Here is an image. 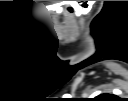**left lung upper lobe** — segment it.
Masks as SVG:
<instances>
[{
    "label": "left lung upper lobe",
    "instance_id": "left-lung-upper-lobe-1",
    "mask_svg": "<svg viewBox=\"0 0 128 101\" xmlns=\"http://www.w3.org/2000/svg\"><path fill=\"white\" fill-rule=\"evenodd\" d=\"M107 96H110V97H112V95H109V94H104V95H102L100 98H98V99H103L104 97H107Z\"/></svg>",
    "mask_w": 128,
    "mask_h": 101
}]
</instances>
